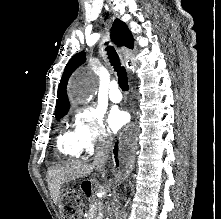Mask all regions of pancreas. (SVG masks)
Wrapping results in <instances>:
<instances>
[{
  "instance_id": "obj_1",
  "label": "pancreas",
  "mask_w": 221,
  "mask_h": 219,
  "mask_svg": "<svg viewBox=\"0 0 221 219\" xmlns=\"http://www.w3.org/2000/svg\"><path fill=\"white\" fill-rule=\"evenodd\" d=\"M86 219H99L97 216V208L96 207L93 206L88 210Z\"/></svg>"
}]
</instances>
